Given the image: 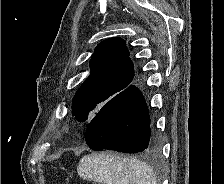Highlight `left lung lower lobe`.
Wrapping results in <instances>:
<instances>
[{"instance_id":"0a47b994","label":"left lung lower lobe","mask_w":224,"mask_h":184,"mask_svg":"<svg viewBox=\"0 0 224 184\" xmlns=\"http://www.w3.org/2000/svg\"><path fill=\"white\" fill-rule=\"evenodd\" d=\"M85 141L94 151L157 153L159 139L151 133L149 110L136 86L108 100L89 122Z\"/></svg>"}]
</instances>
